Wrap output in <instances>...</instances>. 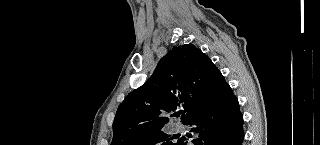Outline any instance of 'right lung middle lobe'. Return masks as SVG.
Wrapping results in <instances>:
<instances>
[{
  "label": "right lung middle lobe",
  "mask_w": 320,
  "mask_h": 145,
  "mask_svg": "<svg viewBox=\"0 0 320 145\" xmlns=\"http://www.w3.org/2000/svg\"><path fill=\"white\" fill-rule=\"evenodd\" d=\"M174 138L176 137H170V135L159 130L142 137L132 145H178L179 139L176 142L170 141Z\"/></svg>",
  "instance_id": "right-lung-middle-lobe-1"
}]
</instances>
